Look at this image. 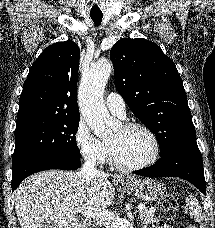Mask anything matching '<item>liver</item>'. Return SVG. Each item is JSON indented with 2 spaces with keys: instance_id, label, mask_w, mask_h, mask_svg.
<instances>
[{
  "instance_id": "liver-1",
  "label": "liver",
  "mask_w": 215,
  "mask_h": 228,
  "mask_svg": "<svg viewBox=\"0 0 215 228\" xmlns=\"http://www.w3.org/2000/svg\"><path fill=\"white\" fill-rule=\"evenodd\" d=\"M108 178L104 174L86 180L78 172L62 170L29 176L14 192L21 228H86L78 212L104 210L112 204L115 190Z\"/></svg>"
}]
</instances>
